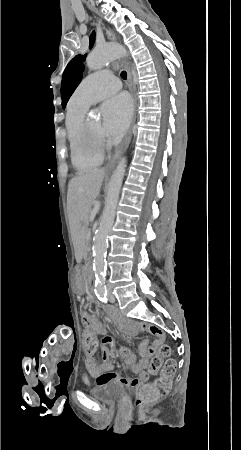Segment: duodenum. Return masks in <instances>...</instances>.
I'll list each match as a JSON object with an SVG mask.
<instances>
[{
    "mask_svg": "<svg viewBox=\"0 0 241 450\" xmlns=\"http://www.w3.org/2000/svg\"><path fill=\"white\" fill-rule=\"evenodd\" d=\"M87 272H88V287L91 291L95 290V277L93 272V264L91 262L87 265Z\"/></svg>",
    "mask_w": 241,
    "mask_h": 450,
    "instance_id": "obj_1",
    "label": "duodenum"
}]
</instances>
